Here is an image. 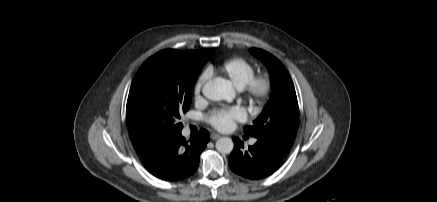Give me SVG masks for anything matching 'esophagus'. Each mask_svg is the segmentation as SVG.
<instances>
[{
	"label": "esophagus",
	"mask_w": 437,
	"mask_h": 202,
	"mask_svg": "<svg viewBox=\"0 0 437 202\" xmlns=\"http://www.w3.org/2000/svg\"><path fill=\"white\" fill-rule=\"evenodd\" d=\"M210 137H211L212 140H217V139H219L221 136H220L219 134H217V133H212V134L210 135Z\"/></svg>",
	"instance_id": "esophagus-1"
}]
</instances>
